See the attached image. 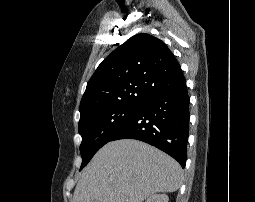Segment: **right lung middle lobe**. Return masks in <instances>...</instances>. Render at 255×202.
<instances>
[{
  "label": "right lung middle lobe",
  "mask_w": 255,
  "mask_h": 202,
  "mask_svg": "<svg viewBox=\"0 0 255 202\" xmlns=\"http://www.w3.org/2000/svg\"><path fill=\"white\" fill-rule=\"evenodd\" d=\"M141 105H118L103 108L80 118L78 131L82 136L80 152L82 165L88 164L93 155L124 126Z\"/></svg>",
  "instance_id": "obj_1"
}]
</instances>
